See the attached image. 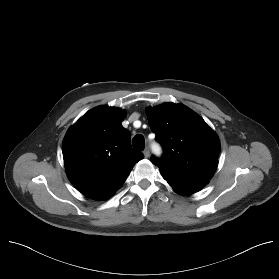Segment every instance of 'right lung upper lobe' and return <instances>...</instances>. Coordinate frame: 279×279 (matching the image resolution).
Instances as JSON below:
<instances>
[{"label": "right lung upper lobe", "mask_w": 279, "mask_h": 279, "mask_svg": "<svg viewBox=\"0 0 279 279\" xmlns=\"http://www.w3.org/2000/svg\"><path fill=\"white\" fill-rule=\"evenodd\" d=\"M126 112L98 106L71 126L63 140L62 153L70 182L85 196L103 200L125 182L144 155L130 144L122 127Z\"/></svg>", "instance_id": "1"}]
</instances>
